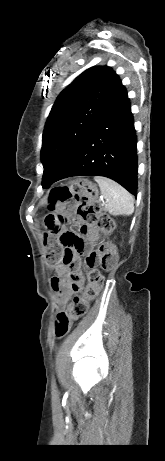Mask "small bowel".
<instances>
[{"mask_svg":"<svg viewBox=\"0 0 165 461\" xmlns=\"http://www.w3.org/2000/svg\"><path fill=\"white\" fill-rule=\"evenodd\" d=\"M75 222L80 224L79 220ZM57 239L58 249L73 250L61 251L60 263L55 266L56 275L51 279L52 289L58 295L57 304L64 305L73 293L83 289L84 276L78 257L80 253H92L99 232L96 225H73V229H59Z\"/></svg>","mask_w":165,"mask_h":461,"instance_id":"1","label":"small bowel"}]
</instances>
